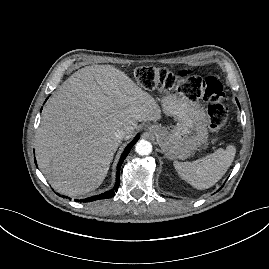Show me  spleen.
<instances>
[{
  "label": "spleen",
  "mask_w": 269,
  "mask_h": 269,
  "mask_svg": "<svg viewBox=\"0 0 269 269\" xmlns=\"http://www.w3.org/2000/svg\"><path fill=\"white\" fill-rule=\"evenodd\" d=\"M236 154L234 145L219 148L214 153L193 162L174 161L173 165L186 182L196 189H208L227 172Z\"/></svg>",
  "instance_id": "obj_1"
}]
</instances>
